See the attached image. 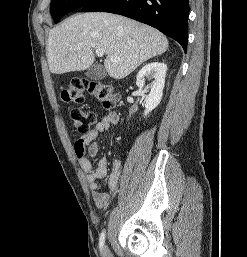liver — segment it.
<instances>
[{"label":"liver","mask_w":247,"mask_h":257,"mask_svg":"<svg viewBox=\"0 0 247 257\" xmlns=\"http://www.w3.org/2000/svg\"><path fill=\"white\" fill-rule=\"evenodd\" d=\"M168 45L161 32L143 23L111 13H85L50 30L47 59L51 73L83 71L93 65L94 49H100L107 55L104 66L109 76L123 79Z\"/></svg>","instance_id":"6515ba94"}]
</instances>
